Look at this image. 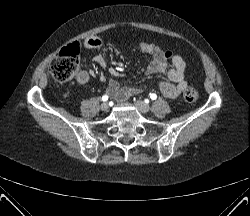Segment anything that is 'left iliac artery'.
Wrapping results in <instances>:
<instances>
[{"label":"left iliac artery","instance_id":"left-iliac-artery-1","mask_svg":"<svg viewBox=\"0 0 250 216\" xmlns=\"http://www.w3.org/2000/svg\"><path fill=\"white\" fill-rule=\"evenodd\" d=\"M150 98H151L152 100H155V99L157 98V95L154 94V93H152V94H150Z\"/></svg>","mask_w":250,"mask_h":216}]
</instances>
